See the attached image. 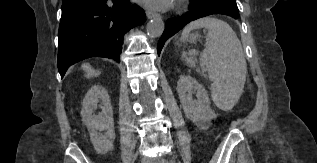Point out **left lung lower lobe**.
Wrapping results in <instances>:
<instances>
[{"label":"left lung lower lobe","mask_w":317,"mask_h":163,"mask_svg":"<svg viewBox=\"0 0 317 163\" xmlns=\"http://www.w3.org/2000/svg\"><path fill=\"white\" fill-rule=\"evenodd\" d=\"M191 13L182 17L172 18L166 21L165 30L158 42V55L160 54L165 41L173 36L176 32L182 29L186 24L201 17H205L212 14H225L235 19L238 18L239 12L219 7V6H205L202 1H191L190 4Z\"/></svg>","instance_id":"1"}]
</instances>
